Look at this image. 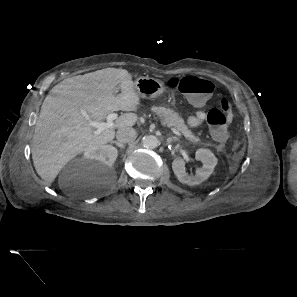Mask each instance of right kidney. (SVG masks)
<instances>
[{
	"instance_id": "1",
	"label": "right kidney",
	"mask_w": 297,
	"mask_h": 297,
	"mask_svg": "<svg viewBox=\"0 0 297 297\" xmlns=\"http://www.w3.org/2000/svg\"><path fill=\"white\" fill-rule=\"evenodd\" d=\"M118 156V151L111 145H99L88 148L84 158L99 162L100 165L111 167Z\"/></svg>"
}]
</instances>
